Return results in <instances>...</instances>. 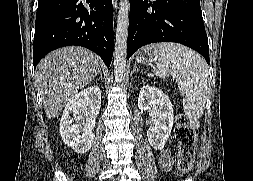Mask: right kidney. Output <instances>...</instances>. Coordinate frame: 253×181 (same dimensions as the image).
Masks as SVG:
<instances>
[{
  "instance_id": "1",
  "label": "right kidney",
  "mask_w": 253,
  "mask_h": 181,
  "mask_svg": "<svg viewBox=\"0 0 253 181\" xmlns=\"http://www.w3.org/2000/svg\"><path fill=\"white\" fill-rule=\"evenodd\" d=\"M100 107L101 91L98 86L82 90L66 103L60 119V135L63 142L75 152L85 154L90 150ZM84 117L86 122H82Z\"/></svg>"
}]
</instances>
